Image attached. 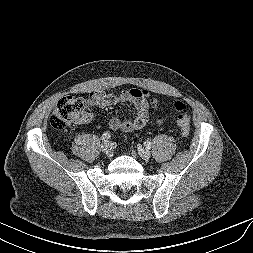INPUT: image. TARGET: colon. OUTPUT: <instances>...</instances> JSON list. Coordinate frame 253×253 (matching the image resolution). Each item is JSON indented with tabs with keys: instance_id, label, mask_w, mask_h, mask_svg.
I'll list each match as a JSON object with an SVG mask.
<instances>
[{
	"instance_id": "5ec220e1",
	"label": "colon",
	"mask_w": 253,
	"mask_h": 253,
	"mask_svg": "<svg viewBox=\"0 0 253 253\" xmlns=\"http://www.w3.org/2000/svg\"><path fill=\"white\" fill-rule=\"evenodd\" d=\"M89 101L84 96H64L56 104L51 116V125L58 130L72 129L89 116L87 106ZM172 106L177 113V124L181 135L186 137L190 131V114L184 103L173 101Z\"/></svg>"
}]
</instances>
